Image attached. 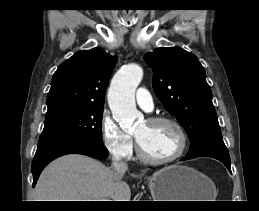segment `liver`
<instances>
[{
	"label": "liver",
	"instance_id": "liver-1",
	"mask_svg": "<svg viewBox=\"0 0 259 211\" xmlns=\"http://www.w3.org/2000/svg\"><path fill=\"white\" fill-rule=\"evenodd\" d=\"M123 176L93 158L69 154L51 162L35 187V201H130Z\"/></svg>",
	"mask_w": 259,
	"mask_h": 211
}]
</instances>
